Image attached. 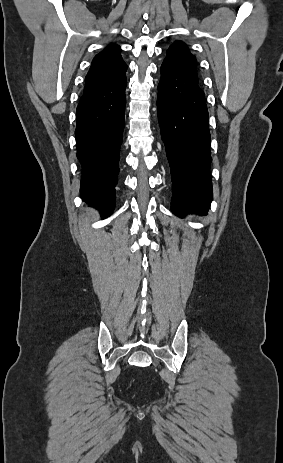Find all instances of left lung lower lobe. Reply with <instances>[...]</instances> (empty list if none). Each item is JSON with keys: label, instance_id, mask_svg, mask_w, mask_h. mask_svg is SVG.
<instances>
[{"label": "left lung lower lobe", "instance_id": "left-lung-lower-lobe-1", "mask_svg": "<svg viewBox=\"0 0 283 463\" xmlns=\"http://www.w3.org/2000/svg\"><path fill=\"white\" fill-rule=\"evenodd\" d=\"M158 85V120L171 168L172 212L206 213L212 200L210 132L198 81L164 60Z\"/></svg>", "mask_w": 283, "mask_h": 463}]
</instances>
